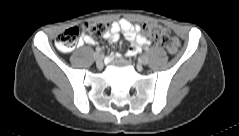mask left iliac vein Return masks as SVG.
Wrapping results in <instances>:
<instances>
[{"instance_id":"obj_1","label":"left iliac vein","mask_w":239,"mask_h":136,"mask_svg":"<svg viewBox=\"0 0 239 136\" xmlns=\"http://www.w3.org/2000/svg\"><path fill=\"white\" fill-rule=\"evenodd\" d=\"M148 57L147 56H145V55H143V56H141L140 58H139V60H138V62H139V64H141V65H146V64H148Z\"/></svg>"}]
</instances>
